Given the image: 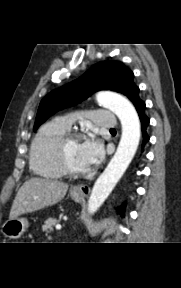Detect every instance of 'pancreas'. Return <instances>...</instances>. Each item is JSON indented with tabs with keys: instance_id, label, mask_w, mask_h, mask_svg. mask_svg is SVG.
<instances>
[{
	"instance_id": "cf45deb5",
	"label": "pancreas",
	"mask_w": 181,
	"mask_h": 288,
	"mask_svg": "<svg viewBox=\"0 0 181 288\" xmlns=\"http://www.w3.org/2000/svg\"><path fill=\"white\" fill-rule=\"evenodd\" d=\"M59 220L55 218H48L45 222L44 225L42 226V230L45 233H50L53 230V226L57 224Z\"/></svg>"
}]
</instances>
